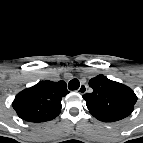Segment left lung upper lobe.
I'll return each instance as SVG.
<instances>
[{"label":"left lung upper lobe","instance_id":"1","mask_svg":"<svg viewBox=\"0 0 143 143\" xmlns=\"http://www.w3.org/2000/svg\"><path fill=\"white\" fill-rule=\"evenodd\" d=\"M93 92L83 95L91 115L103 122H114L129 116L137 101L132 89L103 75L92 78Z\"/></svg>","mask_w":143,"mask_h":143}]
</instances>
